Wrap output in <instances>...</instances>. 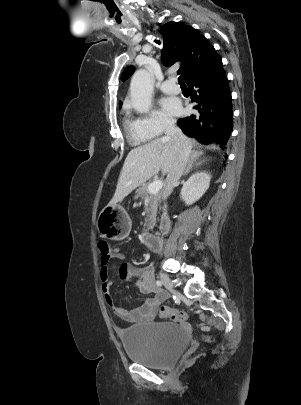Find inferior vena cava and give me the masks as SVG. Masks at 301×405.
Returning a JSON list of instances; mask_svg holds the SVG:
<instances>
[{
	"instance_id": "obj_1",
	"label": "inferior vena cava",
	"mask_w": 301,
	"mask_h": 405,
	"mask_svg": "<svg viewBox=\"0 0 301 405\" xmlns=\"http://www.w3.org/2000/svg\"><path fill=\"white\" fill-rule=\"evenodd\" d=\"M174 119H167L165 123V134L167 138H172L176 144L175 160L168 172L163 191L161 193L162 199H166L172 192L174 186L178 183L179 179L186 169L187 162L191 148L182 133L181 129L175 125Z\"/></svg>"
}]
</instances>
